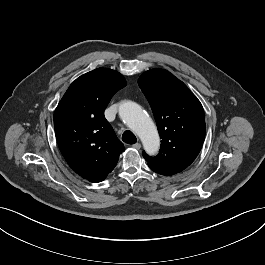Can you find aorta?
<instances>
[{
    "mask_svg": "<svg viewBox=\"0 0 265 265\" xmlns=\"http://www.w3.org/2000/svg\"><path fill=\"white\" fill-rule=\"evenodd\" d=\"M121 119L139 136L145 150L155 153L159 148V135L152 119L140 105L125 101L119 108Z\"/></svg>",
    "mask_w": 265,
    "mask_h": 265,
    "instance_id": "1",
    "label": "aorta"
}]
</instances>
